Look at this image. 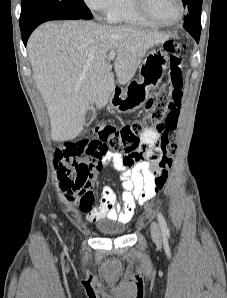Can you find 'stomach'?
<instances>
[{"label": "stomach", "instance_id": "stomach-1", "mask_svg": "<svg viewBox=\"0 0 227 298\" xmlns=\"http://www.w3.org/2000/svg\"><path fill=\"white\" fill-rule=\"evenodd\" d=\"M167 63L165 52L151 50L139 67V79L129 82L125 88L114 89L109 99L111 109L123 114L140 109L149 98L150 90L161 83Z\"/></svg>", "mask_w": 227, "mask_h": 298}]
</instances>
